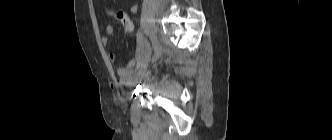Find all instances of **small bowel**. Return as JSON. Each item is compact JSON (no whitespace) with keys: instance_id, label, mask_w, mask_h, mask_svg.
<instances>
[{"instance_id":"c3829d8e","label":"small bowel","mask_w":332,"mask_h":140,"mask_svg":"<svg viewBox=\"0 0 332 140\" xmlns=\"http://www.w3.org/2000/svg\"><path fill=\"white\" fill-rule=\"evenodd\" d=\"M138 11V5L134 4L130 8V12L135 14ZM114 35V28L112 25L105 26V35L102 36L101 41L104 45H108L110 38ZM129 44V43H128ZM127 44V45H128ZM134 57L123 66L117 68L116 73L120 82L124 84H133L139 81L144 76V69L149 58V47L141 36H137L133 40ZM110 59L115 60V55L110 54Z\"/></svg>"}]
</instances>
